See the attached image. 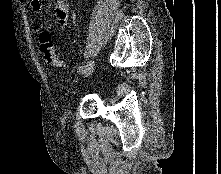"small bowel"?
Here are the masks:
<instances>
[{
	"mask_svg": "<svg viewBox=\"0 0 221 174\" xmlns=\"http://www.w3.org/2000/svg\"><path fill=\"white\" fill-rule=\"evenodd\" d=\"M30 7L35 15H39L42 11L41 0H31ZM68 12L69 3L68 0H55L54 7L52 10V17L56 21V26L58 30H62L66 27L68 23ZM40 29L45 26L42 22L38 23Z\"/></svg>",
	"mask_w": 221,
	"mask_h": 174,
	"instance_id": "obj_1",
	"label": "small bowel"
}]
</instances>
